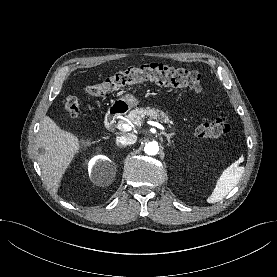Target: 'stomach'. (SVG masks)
Masks as SVG:
<instances>
[{
	"instance_id": "0dacf381",
	"label": "stomach",
	"mask_w": 277,
	"mask_h": 277,
	"mask_svg": "<svg viewBox=\"0 0 277 277\" xmlns=\"http://www.w3.org/2000/svg\"><path fill=\"white\" fill-rule=\"evenodd\" d=\"M138 104L139 100L132 94L125 95L122 98L112 101L113 107L120 112H126Z\"/></svg>"
}]
</instances>
